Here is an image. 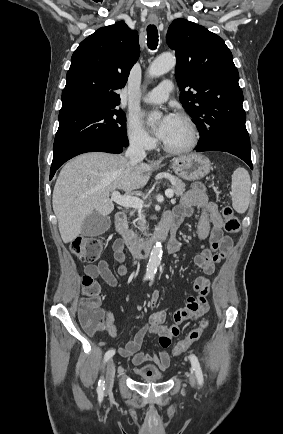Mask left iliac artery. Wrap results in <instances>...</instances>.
Segmentation results:
<instances>
[{
    "label": "left iliac artery",
    "mask_w": 283,
    "mask_h": 434,
    "mask_svg": "<svg viewBox=\"0 0 283 434\" xmlns=\"http://www.w3.org/2000/svg\"><path fill=\"white\" fill-rule=\"evenodd\" d=\"M151 280L153 281V278ZM189 358H190V362L192 364L193 370L195 371V375H196L198 384L203 385V373H202L198 358L194 354H191L189 356Z\"/></svg>",
    "instance_id": "1"
}]
</instances>
